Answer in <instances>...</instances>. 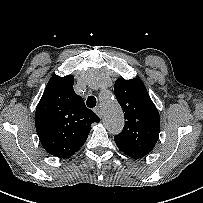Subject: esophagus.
<instances>
[{"label":"esophagus","instance_id":"esophagus-1","mask_svg":"<svg viewBox=\"0 0 203 203\" xmlns=\"http://www.w3.org/2000/svg\"><path fill=\"white\" fill-rule=\"evenodd\" d=\"M94 111L100 118L102 117V110L100 106L96 107Z\"/></svg>","mask_w":203,"mask_h":203}]
</instances>
